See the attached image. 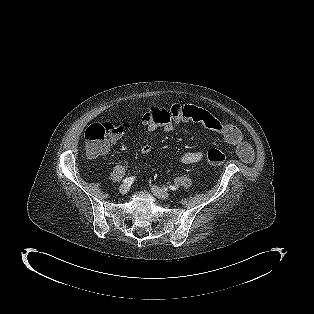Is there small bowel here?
Masks as SVG:
<instances>
[{"instance_id":"obj_1","label":"small bowel","mask_w":314,"mask_h":314,"mask_svg":"<svg viewBox=\"0 0 314 314\" xmlns=\"http://www.w3.org/2000/svg\"><path fill=\"white\" fill-rule=\"evenodd\" d=\"M195 122L207 130L220 135L224 141L236 148V152L244 163H251L254 159V153L250 144L243 140L242 133L238 127L230 123L223 122L216 118L209 111L196 107L173 104L164 109H156L146 113L143 117V126L148 130H154L162 125L164 132H171L175 123ZM125 131V130H124ZM124 131L116 135L112 142L122 137ZM152 150L150 144L145 143L139 151L142 154H148ZM204 159L202 151H191L185 153L181 161L184 164H196Z\"/></svg>"}]
</instances>
